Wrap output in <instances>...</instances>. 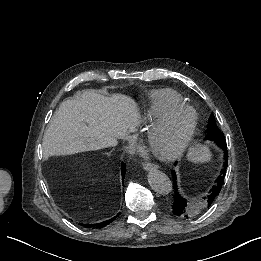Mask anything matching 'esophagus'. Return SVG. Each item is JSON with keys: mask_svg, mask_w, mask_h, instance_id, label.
Returning <instances> with one entry per match:
<instances>
[{"mask_svg": "<svg viewBox=\"0 0 261 261\" xmlns=\"http://www.w3.org/2000/svg\"><path fill=\"white\" fill-rule=\"evenodd\" d=\"M143 169L145 171H151L153 169H157V165L153 164V163H150V162H144L143 164Z\"/></svg>", "mask_w": 261, "mask_h": 261, "instance_id": "esophagus-1", "label": "esophagus"}]
</instances>
